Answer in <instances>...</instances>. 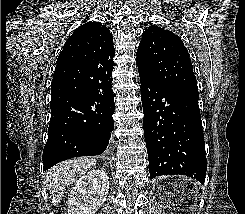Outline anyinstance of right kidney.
I'll return each instance as SVG.
<instances>
[{"mask_svg":"<svg viewBox=\"0 0 245 214\" xmlns=\"http://www.w3.org/2000/svg\"><path fill=\"white\" fill-rule=\"evenodd\" d=\"M109 180L104 170L80 177L68 196V214H95L106 201Z\"/></svg>","mask_w":245,"mask_h":214,"instance_id":"1","label":"right kidney"}]
</instances>
